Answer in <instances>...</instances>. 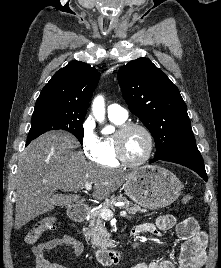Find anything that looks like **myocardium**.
I'll list each match as a JSON object with an SVG mask.
<instances>
[{
	"label": "myocardium",
	"instance_id": "1",
	"mask_svg": "<svg viewBox=\"0 0 221 268\" xmlns=\"http://www.w3.org/2000/svg\"><path fill=\"white\" fill-rule=\"evenodd\" d=\"M131 129L142 130L148 139V149L146 151V154L139 161H130L125 156V153H124L123 138H124V135ZM114 145H115L116 158L120 162V164L127 166V167L135 168V167H139L145 164L150 159L154 151L155 141H154V136L148 127H146L145 125L141 123L127 122V123L121 124L117 132L115 133Z\"/></svg>",
	"mask_w": 221,
	"mask_h": 268
}]
</instances>
